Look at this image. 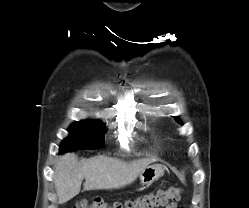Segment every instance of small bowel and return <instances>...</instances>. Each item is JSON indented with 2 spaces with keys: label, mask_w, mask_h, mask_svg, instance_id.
Returning <instances> with one entry per match:
<instances>
[{
  "label": "small bowel",
  "mask_w": 249,
  "mask_h": 208,
  "mask_svg": "<svg viewBox=\"0 0 249 208\" xmlns=\"http://www.w3.org/2000/svg\"><path fill=\"white\" fill-rule=\"evenodd\" d=\"M165 208H179V206L177 205V203L172 202L166 205Z\"/></svg>",
  "instance_id": "small-bowel-1"
}]
</instances>
